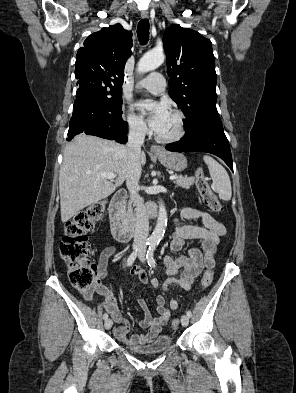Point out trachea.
<instances>
[{
	"mask_svg": "<svg viewBox=\"0 0 296 393\" xmlns=\"http://www.w3.org/2000/svg\"><path fill=\"white\" fill-rule=\"evenodd\" d=\"M137 37L139 42L144 45L149 41V21L142 19L137 26Z\"/></svg>",
	"mask_w": 296,
	"mask_h": 393,
	"instance_id": "trachea-1",
	"label": "trachea"
}]
</instances>
